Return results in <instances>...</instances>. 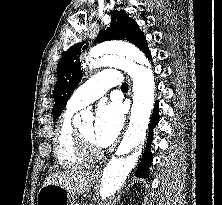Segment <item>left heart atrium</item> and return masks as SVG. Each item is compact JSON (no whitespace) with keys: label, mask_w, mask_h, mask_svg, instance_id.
Here are the masks:
<instances>
[{"label":"left heart atrium","mask_w":222,"mask_h":205,"mask_svg":"<svg viewBox=\"0 0 222 205\" xmlns=\"http://www.w3.org/2000/svg\"><path fill=\"white\" fill-rule=\"evenodd\" d=\"M124 122L121 105L117 102L101 104L97 108L93 137L100 147H107L118 137Z\"/></svg>","instance_id":"left-heart-atrium-1"}]
</instances>
